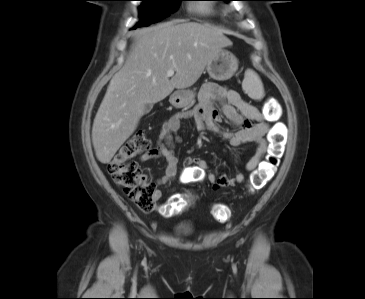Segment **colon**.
<instances>
[{"label":"colon","instance_id":"1","mask_svg":"<svg viewBox=\"0 0 365 299\" xmlns=\"http://www.w3.org/2000/svg\"><path fill=\"white\" fill-rule=\"evenodd\" d=\"M277 113L278 106L269 102L265 116L275 118ZM285 135L286 128L282 123H277L271 130L266 159L250 176L249 192L260 190L274 176L284 153ZM148 148L149 141L144 130H138L119 148L108 164V173L113 181L144 212H151L155 209L157 188L155 183L142 173L139 165L133 159ZM189 204L190 198L175 196L163 205L162 212L167 216L176 215L185 211ZM211 214L220 222H225L231 215L230 210L224 205H215Z\"/></svg>","mask_w":365,"mask_h":299}]
</instances>
